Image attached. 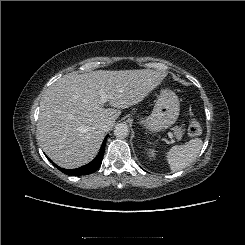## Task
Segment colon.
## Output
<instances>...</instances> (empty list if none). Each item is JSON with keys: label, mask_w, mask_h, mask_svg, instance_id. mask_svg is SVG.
Here are the masks:
<instances>
[{"label": "colon", "mask_w": 245, "mask_h": 245, "mask_svg": "<svg viewBox=\"0 0 245 245\" xmlns=\"http://www.w3.org/2000/svg\"><path fill=\"white\" fill-rule=\"evenodd\" d=\"M202 128L201 124L198 119L193 115L190 114V121L188 126V135L190 137H196L201 134Z\"/></svg>", "instance_id": "obj_1"}]
</instances>
